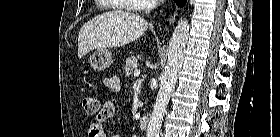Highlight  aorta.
<instances>
[{
    "label": "aorta",
    "instance_id": "1",
    "mask_svg": "<svg viewBox=\"0 0 280 137\" xmlns=\"http://www.w3.org/2000/svg\"><path fill=\"white\" fill-rule=\"evenodd\" d=\"M188 34V21L185 18L181 19L170 39L167 50L168 61L161 77L160 89L148 123L147 137H159L163 116L183 64Z\"/></svg>",
    "mask_w": 280,
    "mask_h": 137
}]
</instances>
